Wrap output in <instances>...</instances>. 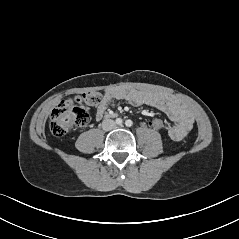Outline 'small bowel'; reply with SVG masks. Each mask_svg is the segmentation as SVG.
I'll use <instances>...</instances> for the list:
<instances>
[{
  "label": "small bowel",
  "instance_id": "obj_1",
  "mask_svg": "<svg viewBox=\"0 0 239 239\" xmlns=\"http://www.w3.org/2000/svg\"><path fill=\"white\" fill-rule=\"evenodd\" d=\"M119 100H126L137 106L147 105L165 113L174 123L173 126H168L167 131L168 136L173 141H180L185 138L193 127V115L174 96L128 86L105 91L102 101L97 107L96 118H103L107 109Z\"/></svg>",
  "mask_w": 239,
  "mask_h": 239
}]
</instances>
